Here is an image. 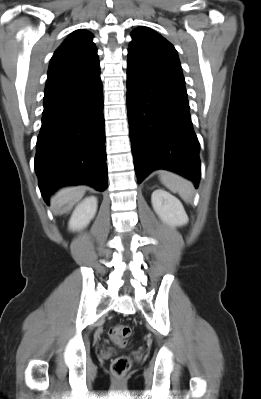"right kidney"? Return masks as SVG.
Instances as JSON below:
<instances>
[{
    "label": "right kidney",
    "mask_w": 261,
    "mask_h": 399,
    "mask_svg": "<svg viewBox=\"0 0 261 399\" xmlns=\"http://www.w3.org/2000/svg\"><path fill=\"white\" fill-rule=\"evenodd\" d=\"M97 198L90 196L82 200L75 207L69 220V229L72 231L86 227L97 212Z\"/></svg>",
    "instance_id": "1"
}]
</instances>
